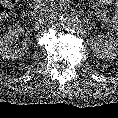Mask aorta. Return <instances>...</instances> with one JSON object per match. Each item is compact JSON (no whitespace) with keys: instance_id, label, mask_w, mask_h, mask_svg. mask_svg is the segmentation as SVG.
Here are the masks:
<instances>
[{"instance_id":"aorta-1","label":"aorta","mask_w":118,"mask_h":118,"mask_svg":"<svg viewBox=\"0 0 118 118\" xmlns=\"http://www.w3.org/2000/svg\"><path fill=\"white\" fill-rule=\"evenodd\" d=\"M58 23L65 30L70 31V32H75L82 27L81 21L78 18H75L69 14L61 15L58 18Z\"/></svg>"}]
</instances>
